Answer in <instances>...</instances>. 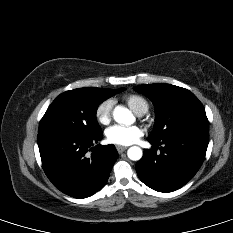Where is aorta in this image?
I'll return each mask as SVG.
<instances>
[{
  "mask_svg": "<svg viewBox=\"0 0 233 233\" xmlns=\"http://www.w3.org/2000/svg\"><path fill=\"white\" fill-rule=\"evenodd\" d=\"M113 118L119 124L131 125L134 123L135 117L132 112L122 106L115 107L113 111ZM143 152L140 147L132 146L127 151V156L133 161H138L142 158Z\"/></svg>",
  "mask_w": 233,
  "mask_h": 233,
  "instance_id": "762f6f07",
  "label": "aorta"
}]
</instances>
